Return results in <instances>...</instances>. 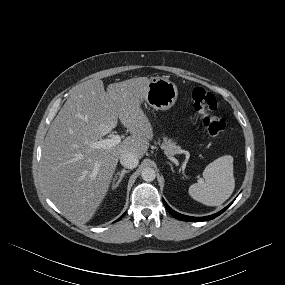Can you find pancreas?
Instances as JSON below:
<instances>
[{
    "mask_svg": "<svg viewBox=\"0 0 285 285\" xmlns=\"http://www.w3.org/2000/svg\"><path fill=\"white\" fill-rule=\"evenodd\" d=\"M161 148L169 155L177 154L180 151V147L177 146L175 142L167 138L164 139V142L161 144Z\"/></svg>",
    "mask_w": 285,
    "mask_h": 285,
    "instance_id": "pancreas-1",
    "label": "pancreas"
}]
</instances>
